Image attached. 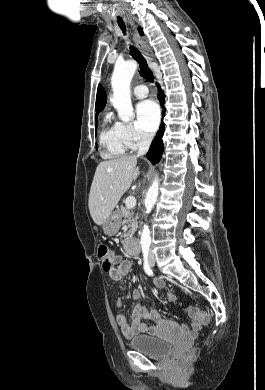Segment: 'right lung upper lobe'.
<instances>
[{"mask_svg": "<svg viewBox=\"0 0 265 390\" xmlns=\"http://www.w3.org/2000/svg\"><path fill=\"white\" fill-rule=\"evenodd\" d=\"M107 101L106 93L104 88L99 85L97 89V97H96V114H98L105 106Z\"/></svg>", "mask_w": 265, "mask_h": 390, "instance_id": "1", "label": "right lung upper lobe"}]
</instances>
